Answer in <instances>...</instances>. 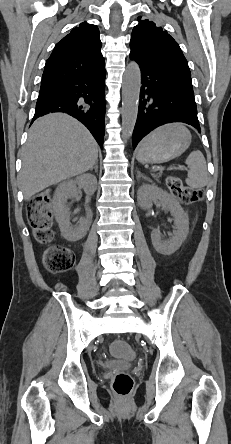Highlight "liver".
I'll list each match as a JSON object with an SVG mask.
<instances>
[{
    "label": "liver",
    "instance_id": "6515ba94",
    "mask_svg": "<svg viewBox=\"0 0 231 444\" xmlns=\"http://www.w3.org/2000/svg\"><path fill=\"white\" fill-rule=\"evenodd\" d=\"M98 144L87 128L64 113L36 120L22 149L19 186L24 199L95 165Z\"/></svg>",
    "mask_w": 231,
    "mask_h": 444
}]
</instances>
